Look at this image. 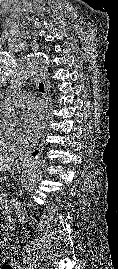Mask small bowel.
Returning <instances> with one entry per match:
<instances>
[{"label": "small bowel", "mask_w": 118, "mask_h": 269, "mask_svg": "<svg viewBox=\"0 0 118 269\" xmlns=\"http://www.w3.org/2000/svg\"><path fill=\"white\" fill-rule=\"evenodd\" d=\"M11 242H12V237L9 235L5 236L2 240V243L5 245L10 244Z\"/></svg>", "instance_id": "small-bowel-1"}]
</instances>
